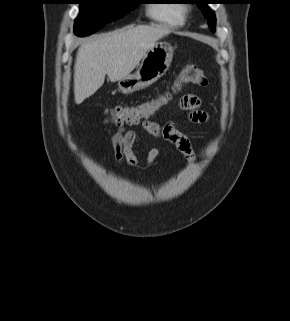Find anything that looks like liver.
Wrapping results in <instances>:
<instances>
[{
  "label": "liver",
  "mask_w": 290,
  "mask_h": 321,
  "mask_svg": "<svg viewBox=\"0 0 290 321\" xmlns=\"http://www.w3.org/2000/svg\"><path fill=\"white\" fill-rule=\"evenodd\" d=\"M170 30L158 25L128 26L82 44L74 66V96L77 104L92 96L104 83L128 76L145 54Z\"/></svg>",
  "instance_id": "obj_1"
}]
</instances>
